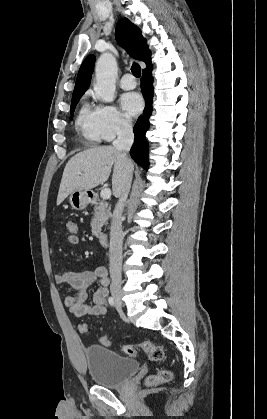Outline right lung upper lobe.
I'll return each instance as SVG.
<instances>
[{"label": "right lung upper lobe", "instance_id": "right-lung-upper-lobe-1", "mask_svg": "<svg viewBox=\"0 0 267 419\" xmlns=\"http://www.w3.org/2000/svg\"><path fill=\"white\" fill-rule=\"evenodd\" d=\"M116 39L127 52L135 59L145 62L146 67L151 65V52L147 47L146 39L142 36L141 30L129 19H121L115 31ZM95 64V56L89 55L81 64L76 79L73 96H82L90 85V80Z\"/></svg>", "mask_w": 267, "mask_h": 419}]
</instances>
